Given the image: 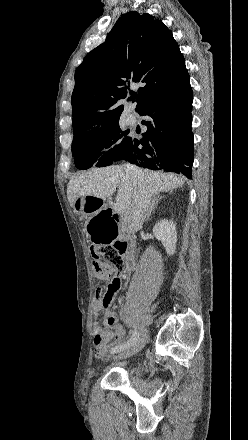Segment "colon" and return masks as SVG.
<instances>
[{
  "mask_svg": "<svg viewBox=\"0 0 248 440\" xmlns=\"http://www.w3.org/2000/svg\"><path fill=\"white\" fill-rule=\"evenodd\" d=\"M94 261V268L96 275L101 280H109L105 291L96 292V300H98L104 307L110 305L113 299V292L118 284L113 279L114 271L118 267H123V260L121 252L117 246H98L92 251Z\"/></svg>",
  "mask_w": 248,
  "mask_h": 440,
  "instance_id": "1",
  "label": "colon"
}]
</instances>
